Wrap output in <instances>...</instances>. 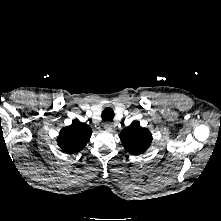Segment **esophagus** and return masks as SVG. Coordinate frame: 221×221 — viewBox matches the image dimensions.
Returning <instances> with one entry per match:
<instances>
[{"instance_id": "esophagus-1", "label": "esophagus", "mask_w": 221, "mask_h": 221, "mask_svg": "<svg viewBox=\"0 0 221 221\" xmlns=\"http://www.w3.org/2000/svg\"><path fill=\"white\" fill-rule=\"evenodd\" d=\"M103 127L106 131H111L113 129V124L111 122H105Z\"/></svg>"}]
</instances>
